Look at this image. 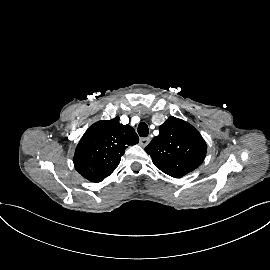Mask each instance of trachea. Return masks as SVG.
I'll return each mask as SVG.
<instances>
[{
    "label": "trachea",
    "mask_w": 270,
    "mask_h": 270,
    "mask_svg": "<svg viewBox=\"0 0 270 270\" xmlns=\"http://www.w3.org/2000/svg\"><path fill=\"white\" fill-rule=\"evenodd\" d=\"M149 133V128L146 123L141 122L138 125V134L140 137H147Z\"/></svg>",
    "instance_id": "obj_1"
}]
</instances>
